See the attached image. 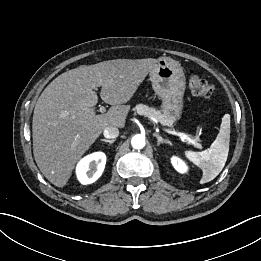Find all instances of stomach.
Returning <instances> with one entry per match:
<instances>
[{
  "label": "stomach",
  "mask_w": 261,
  "mask_h": 261,
  "mask_svg": "<svg viewBox=\"0 0 261 261\" xmlns=\"http://www.w3.org/2000/svg\"><path fill=\"white\" fill-rule=\"evenodd\" d=\"M149 75L155 94L162 100L163 113L170 115L174 121L179 120L183 113L186 87L181 65L171 58L161 57Z\"/></svg>",
  "instance_id": "0dacf381"
}]
</instances>
